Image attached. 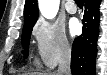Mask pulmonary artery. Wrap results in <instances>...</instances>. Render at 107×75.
Listing matches in <instances>:
<instances>
[{
	"label": "pulmonary artery",
	"instance_id": "1",
	"mask_svg": "<svg viewBox=\"0 0 107 75\" xmlns=\"http://www.w3.org/2000/svg\"><path fill=\"white\" fill-rule=\"evenodd\" d=\"M65 8L70 14H75L77 12V7L72 0L66 1Z\"/></svg>",
	"mask_w": 107,
	"mask_h": 75
}]
</instances>
